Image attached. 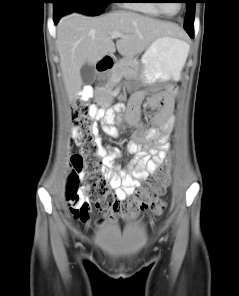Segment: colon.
I'll return each mask as SVG.
<instances>
[{
  "label": "colon",
  "instance_id": "5ec220e1",
  "mask_svg": "<svg viewBox=\"0 0 239 296\" xmlns=\"http://www.w3.org/2000/svg\"><path fill=\"white\" fill-rule=\"evenodd\" d=\"M92 89L85 92L80 101L72 109V117L76 128V143L79 152L73 153L70 159V175L66 189V199L75 218L89 219L91 207L95 206L100 213L112 216L135 214L148 210L154 215L162 212L165 204L159 198L165 191L171 157L165 160L154 178L148 181L127 202H120L110 191L100 163L99 145L95 134V122L92 118L94 107L86 102ZM83 181V185H80Z\"/></svg>",
  "mask_w": 239,
  "mask_h": 296
}]
</instances>
